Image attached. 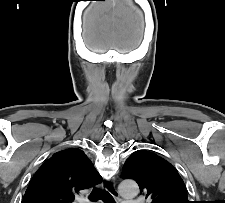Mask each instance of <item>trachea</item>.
I'll list each match as a JSON object with an SVG mask.
<instances>
[{
	"label": "trachea",
	"mask_w": 225,
	"mask_h": 203,
	"mask_svg": "<svg viewBox=\"0 0 225 203\" xmlns=\"http://www.w3.org/2000/svg\"><path fill=\"white\" fill-rule=\"evenodd\" d=\"M90 199L92 201L102 200L104 203H115L113 197L106 190L93 188Z\"/></svg>",
	"instance_id": "1"
}]
</instances>
